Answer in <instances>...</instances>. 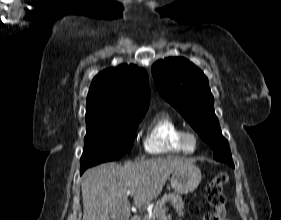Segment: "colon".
<instances>
[{"label":"colon","mask_w":281,"mask_h":220,"mask_svg":"<svg viewBox=\"0 0 281 220\" xmlns=\"http://www.w3.org/2000/svg\"><path fill=\"white\" fill-rule=\"evenodd\" d=\"M228 182V174L219 172L206 186L207 202L211 210L206 213L204 220H227L226 196L224 186Z\"/></svg>","instance_id":"1"}]
</instances>
